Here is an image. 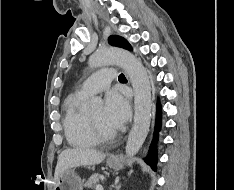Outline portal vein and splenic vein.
<instances>
[{
    "label": "portal vein and splenic vein",
    "mask_w": 234,
    "mask_h": 190,
    "mask_svg": "<svg viewBox=\"0 0 234 190\" xmlns=\"http://www.w3.org/2000/svg\"><path fill=\"white\" fill-rule=\"evenodd\" d=\"M95 189L96 190H104V188L101 185H96Z\"/></svg>",
    "instance_id": "18ae733b"
}]
</instances>
